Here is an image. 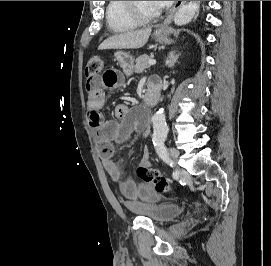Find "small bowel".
<instances>
[{
	"mask_svg": "<svg viewBox=\"0 0 271 266\" xmlns=\"http://www.w3.org/2000/svg\"><path fill=\"white\" fill-rule=\"evenodd\" d=\"M124 81V75L119 67L107 66L101 74L89 76L86 83L88 92L87 121L94 130L103 159L104 168L117 184L120 192L130 207L140 206L138 201L157 202L161 195L148 184H136L133 180H123L117 163L114 161L115 143L125 141L136 130L146 129V122L142 118L140 109H131L125 104L115 108V115L120 120L106 121L101 110L104 105V90H116ZM143 165L150 166L144 155Z\"/></svg>",
	"mask_w": 271,
	"mask_h": 266,
	"instance_id": "c3829d8e",
	"label": "small bowel"
}]
</instances>
